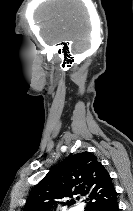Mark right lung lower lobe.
Here are the masks:
<instances>
[{"label": "right lung lower lobe", "mask_w": 133, "mask_h": 211, "mask_svg": "<svg viewBox=\"0 0 133 211\" xmlns=\"http://www.w3.org/2000/svg\"><path fill=\"white\" fill-rule=\"evenodd\" d=\"M97 211H119L117 201L113 204L99 208Z\"/></svg>", "instance_id": "right-lung-lower-lobe-1"}]
</instances>
